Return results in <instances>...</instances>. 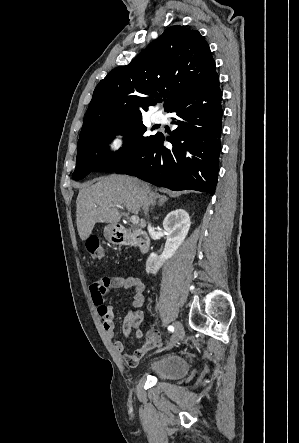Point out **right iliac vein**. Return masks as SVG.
I'll return each instance as SVG.
<instances>
[{
  "label": "right iliac vein",
  "mask_w": 299,
  "mask_h": 443,
  "mask_svg": "<svg viewBox=\"0 0 299 443\" xmlns=\"http://www.w3.org/2000/svg\"><path fill=\"white\" fill-rule=\"evenodd\" d=\"M182 336H183V327H182L181 323L176 322L175 332L168 344V348L170 349V348L174 347L180 341Z\"/></svg>",
  "instance_id": "1"
}]
</instances>
